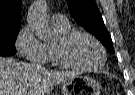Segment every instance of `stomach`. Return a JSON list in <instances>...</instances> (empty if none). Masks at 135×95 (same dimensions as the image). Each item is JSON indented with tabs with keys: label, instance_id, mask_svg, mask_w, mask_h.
Wrapping results in <instances>:
<instances>
[{
	"label": "stomach",
	"instance_id": "0dacf381",
	"mask_svg": "<svg viewBox=\"0 0 135 95\" xmlns=\"http://www.w3.org/2000/svg\"><path fill=\"white\" fill-rule=\"evenodd\" d=\"M63 95H100V84L86 75H76L63 82Z\"/></svg>",
	"mask_w": 135,
	"mask_h": 95
}]
</instances>
